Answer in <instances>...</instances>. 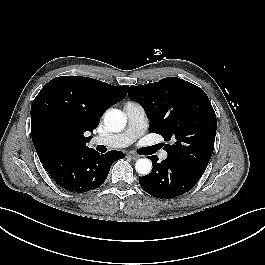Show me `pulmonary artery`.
<instances>
[{"instance_id": "pulmonary-artery-1", "label": "pulmonary artery", "mask_w": 265, "mask_h": 265, "mask_svg": "<svg viewBox=\"0 0 265 265\" xmlns=\"http://www.w3.org/2000/svg\"><path fill=\"white\" fill-rule=\"evenodd\" d=\"M127 117V128L116 134L96 136L92 139V144H101L110 148H124L136 141L143 133L145 128V110L134 102H127L124 106ZM167 152L161 151L159 157L161 160L167 158Z\"/></svg>"}]
</instances>
